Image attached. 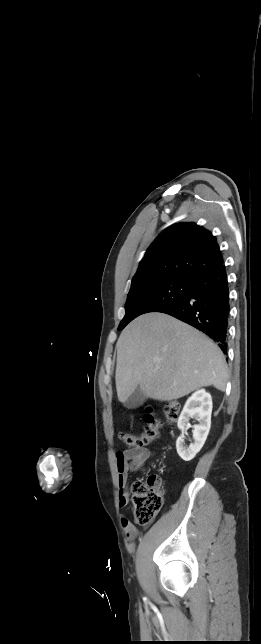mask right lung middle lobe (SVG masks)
Here are the masks:
<instances>
[{
  "label": "right lung middle lobe",
  "mask_w": 261,
  "mask_h": 644,
  "mask_svg": "<svg viewBox=\"0 0 261 644\" xmlns=\"http://www.w3.org/2000/svg\"><path fill=\"white\" fill-rule=\"evenodd\" d=\"M191 281L183 278H167L131 288L125 305L126 314L118 330L123 329L142 314L159 312L179 303L191 289Z\"/></svg>",
  "instance_id": "1"
}]
</instances>
